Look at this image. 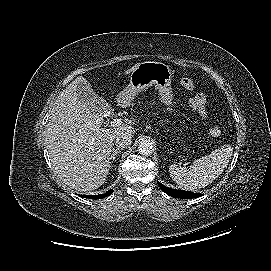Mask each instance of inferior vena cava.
<instances>
[{"mask_svg":"<svg viewBox=\"0 0 271 271\" xmlns=\"http://www.w3.org/2000/svg\"><path fill=\"white\" fill-rule=\"evenodd\" d=\"M132 136L128 132H119L113 137V142L117 147L124 148L131 144Z\"/></svg>","mask_w":271,"mask_h":271,"instance_id":"obj_1","label":"inferior vena cava"}]
</instances>
